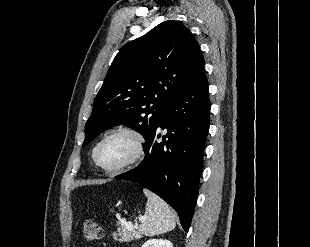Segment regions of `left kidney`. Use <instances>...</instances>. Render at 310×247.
Here are the masks:
<instances>
[{
	"mask_svg": "<svg viewBox=\"0 0 310 247\" xmlns=\"http://www.w3.org/2000/svg\"><path fill=\"white\" fill-rule=\"evenodd\" d=\"M142 247H173L169 240L151 239L145 242Z\"/></svg>",
	"mask_w": 310,
	"mask_h": 247,
	"instance_id": "left-kidney-1",
	"label": "left kidney"
}]
</instances>
